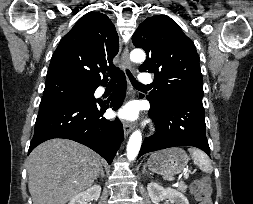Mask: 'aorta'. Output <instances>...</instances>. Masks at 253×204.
<instances>
[{
	"label": "aorta",
	"mask_w": 253,
	"mask_h": 204,
	"mask_svg": "<svg viewBox=\"0 0 253 204\" xmlns=\"http://www.w3.org/2000/svg\"><path fill=\"white\" fill-rule=\"evenodd\" d=\"M145 57V52L141 49H134L130 54V58L133 62H143L145 60ZM141 143L142 134L139 130H137L132 133L127 144V158L129 160H134L137 157Z\"/></svg>",
	"instance_id": "obj_1"
}]
</instances>
